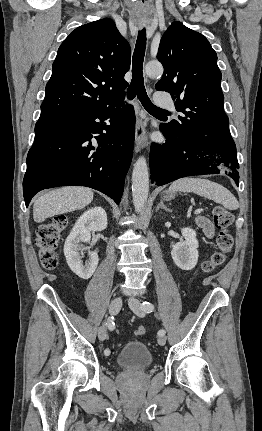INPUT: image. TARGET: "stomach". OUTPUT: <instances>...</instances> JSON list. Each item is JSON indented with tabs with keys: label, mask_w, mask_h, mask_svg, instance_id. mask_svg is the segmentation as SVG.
<instances>
[{
	"label": "stomach",
	"mask_w": 262,
	"mask_h": 431,
	"mask_svg": "<svg viewBox=\"0 0 262 431\" xmlns=\"http://www.w3.org/2000/svg\"><path fill=\"white\" fill-rule=\"evenodd\" d=\"M174 197V194L173 193H170L169 191H167L165 194H164V199H166V200H170V199H172Z\"/></svg>",
	"instance_id": "obj_1"
}]
</instances>
